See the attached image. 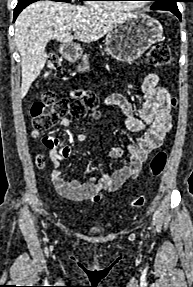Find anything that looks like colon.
I'll list each match as a JSON object with an SVG mask.
<instances>
[{"instance_id":"5ec220e1","label":"colon","mask_w":193,"mask_h":287,"mask_svg":"<svg viewBox=\"0 0 193 287\" xmlns=\"http://www.w3.org/2000/svg\"><path fill=\"white\" fill-rule=\"evenodd\" d=\"M171 57L170 49L166 44H155L149 51L148 62L156 67H162L169 63ZM61 69L60 58L56 54L48 57L45 74L51 75ZM97 96L90 91H75L70 98L56 101L55 95L51 92L44 94L40 101L32 106L33 124L39 131H45L53 127L58 119L69 114L77 119H85L90 112H94L98 107ZM172 106L176 105V100L172 99ZM51 107V108H50ZM50 108V109H49ZM59 142V140H58ZM167 156L164 152L157 153L150 163V170L153 176H159L165 168ZM37 165L42 167L45 160L37 158ZM145 203V197L140 196L133 202L134 207H141Z\"/></svg>"}]
</instances>
